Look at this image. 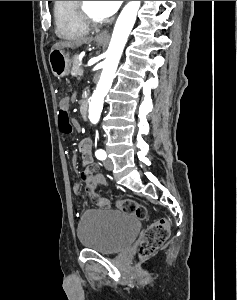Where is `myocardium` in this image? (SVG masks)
I'll return each mask as SVG.
<instances>
[{"instance_id": "myocardium-1", "label": "myocardium", "mask_w": 237, "mask_h": 300, "mask_svg": "<svg viewBox=\"0 0 237 300\" xmlns=\"http://www.w3.org/2000/svg\"><path fill=\"white\" fill-rule=\"evenodd\" d=\"M76 11L79 19L88 27H97L105 24L107 19H98L92 16L86 9L84 1H77Z\"/></svg>"}]
</instances>
